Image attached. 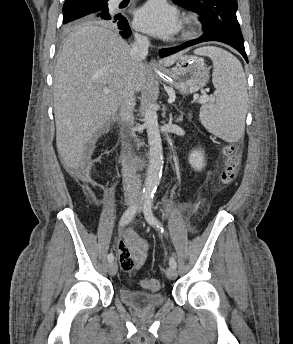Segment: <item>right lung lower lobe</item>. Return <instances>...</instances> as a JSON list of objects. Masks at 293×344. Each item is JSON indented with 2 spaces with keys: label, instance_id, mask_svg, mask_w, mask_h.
<instances>
[{
  "label": "right lung lower lobe",
  "instance_id": "1",
  "mask_svg": "<svg viewBox=\"0 0 293 344\" xmlns=\"http://www.w3.org/2000/svg\"><path fill=\"white\" fill-rule=\"evenodd\" d=\"M91 20H110V23L114 26H118L121 31L119 32L123 38H127L131 34L130 27L126 18L122 15L111 16L107 11H100L89 15Z\"/></svg>",
  "mask_w": 293,
  "mask_h": 344
}]
</instances>
